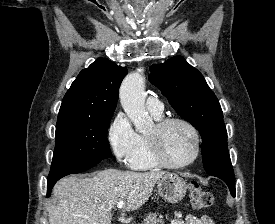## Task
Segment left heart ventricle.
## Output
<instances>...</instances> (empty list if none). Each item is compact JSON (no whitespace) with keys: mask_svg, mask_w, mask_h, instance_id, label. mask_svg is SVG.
I'll return each mask as SVG.
<instances>
[{"mask_svg":"<svg viewBox=\"0 0 275 224\" xmlns=\"http://www.w3.org/2000/svg\"><path fill=\"white\" fill-rule=\"evenodd\" d=\"M154 127L149 133H152ZM148 133V134H149ZM161 143L167 159L175 164L190 160L194 154V138L191 131L180 123H172L161 134Z\"/></svg>","mask_w":275,"mask_h":224,"instance_id":"obj_1","label":"left heart ventricle"}]
</instances>
